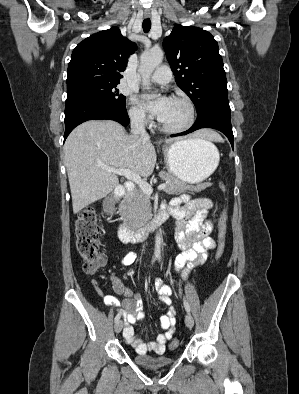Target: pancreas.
Returning a JSON list of instances; mask_svg holds the SVG:
<instances>
[{"label": "pancreas", "instance_id": "obj_1", "mask_svg": "<svg viewBox=\"0 0 299 394\" xmlns=\"http://www.w3.org/2000/svg\"><path fill=\"white\" fill-rule=\"evenodd\" d=\"M159 176L167 185L164 191L170 195H176L186 191L200 192L212 185L211 183H201L196 186L187 185L185 182L180 181L172 174L166 172H161ZM126 213L128 218L133 221L132 226L134 229L143 226L151 216L150 196L145 194L141 189L133 191L129 195Z\"/></svg>", "mask_w": 299, "mask_h": 394}]
</instances>
